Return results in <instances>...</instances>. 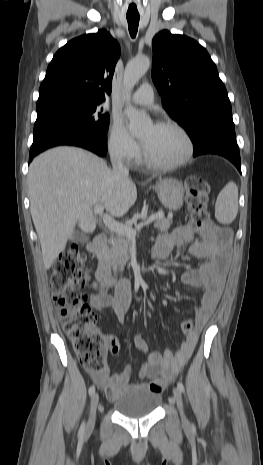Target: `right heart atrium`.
I'll return each mask as SVG.
<instances>
[{
	"mask_svg": "<svg viewBox=\"0 0 263 465\" xmlns=\"http://www.w3.org/2000/svg\"><path fill=\"white\" fill-rule=\"evenodd\" d=\"M107 147L114 158L126 163H134L141 154L138 142L128 133L119 120H113L107 134Z\"/></svg>",
	"mask_w": 263,
	"mask_h": 465,
	"instance_id": "d8ad5b80",
	"label": "right heart atrium"
}]
</instances>
